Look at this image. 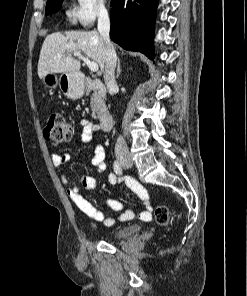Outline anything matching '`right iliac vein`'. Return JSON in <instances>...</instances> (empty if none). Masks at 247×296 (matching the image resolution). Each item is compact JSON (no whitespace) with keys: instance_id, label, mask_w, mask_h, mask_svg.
<instances>
[{"instance_id":"63e3f726","label":"right iliac vein","mask_w":247,"mask_h":296,"mask_svg":"<svg viewBox=\"0 0 247 296\" xmlns=\"http://www.w3.org/2000/svg\"><path fill=\"white\" fill-rule=\"evenodd\" d=\"M119 162L124 166H130L132 164V159L126 155H119Z\"/></svg>"}]
</instances>
